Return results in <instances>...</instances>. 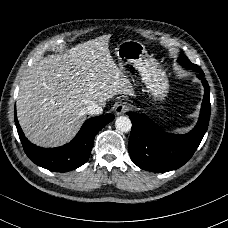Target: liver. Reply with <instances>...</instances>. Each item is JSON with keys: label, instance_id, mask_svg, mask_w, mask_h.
Returning <instances> with one entry per match:
<instances>
[{"label": "liver", "instance_id": "obj_1", "mask_svg": "<svg viewBox=\"0 0 228 228\" xmlns=\"http://www.w3.org/2000/svg\"><path fill=\"white\" fill-rule=\"evenodd\" d=\"M110 38L101 36L61 56L45 57L23 76L17 114L31 141L46 146L65 142L84 121L89 105L134 96L129 74L111 54Z\"/></svg>", "mask_w": 228, "mask_h": 228}]
</instances>
